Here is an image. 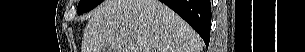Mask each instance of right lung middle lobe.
I'll return each mask as SVG.
<instances>
[{"label": "right lung middle lobe", "mask_w": 305, "mask_h": 52, "mask_svg": "<svg viewBox=\"0 0 305 52\" xmlns=\"http://www.w3.org/2000/svg\"><path fill=\"white\" fill-rule=\"evenodd\" d=\"M103 0H81L78 4V15L95 8Z\"/></svg>", "instance_id": "dd1d6c3e"}]
</instances>
